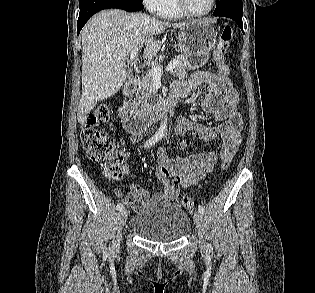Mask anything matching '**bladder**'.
I'll use <instances>...</instances> for the list:
<instances>
[{"label": "bladder", "mask_w": 315, "mask_h": 293, "mask_svg": "<svg viewBox=\"0 0 315 293\" xmlns=\"http://www.w3.org/2000/svg\"><path fill=\"white\" fill-rule=\"evenodd\" d=\"M190 227L189 214L170 203L148 204L130 220L133 233L159 242L177 241L188 233Z\"/></svg>", "instance_id": "31cf9c89"}]
</instances>
